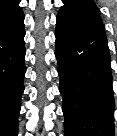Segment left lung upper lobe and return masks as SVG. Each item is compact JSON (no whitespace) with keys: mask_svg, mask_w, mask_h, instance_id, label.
Returning <instances> with one entry per match:
<instances>
[{"mask_svg":"<svg viewBox=\"0 0 117 136\" xmlns=\"http://www.w3.org/2000/svg\"><path fill=\"white\" fill-rule=\"evenodd\" d=\"M58 14H67L85 22L102 25L98 8L93 0H63Z\"/></svg>","mask_w":117,"mask_h":136,"instance_id":"1","label":"left lung upper lobe"}]
</instances>
